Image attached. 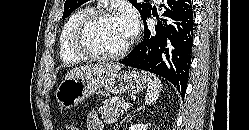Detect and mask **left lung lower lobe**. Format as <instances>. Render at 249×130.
I'll return each instance as SVG.
<instances>
[{"mask_svg":"<svg viewBox=\"0 0 249 130\" xmlns=\"http://www.w3.org/2000/svg\"><path fill=\"white\" fill-rule=\"evenodd\" d=\"M164 8L166 19H158L155 31L146 24L151 12L143 19V41L119 63L166 78L184 98L192 54L193 6L189 0H167Z\"/></svg>","mask_w":249,"mask_h":130,"instance_id":"0a47b994","label":"left lung lower lobe"}]
</instances>
